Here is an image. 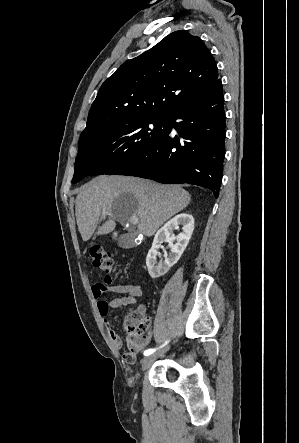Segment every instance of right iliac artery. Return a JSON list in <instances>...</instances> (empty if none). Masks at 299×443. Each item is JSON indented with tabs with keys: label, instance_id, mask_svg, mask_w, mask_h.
I'll list each match as a JSON object with an SVG mask.
<instances>
[{
	"label": "right iliac artery",
	"instance_id": "82829eb1",
	"mask_svg": "<svg viewBox=\"0 0 299 443\" xmlns=\"http://www.w3.org/2000/svg\"><path fill=\"white\" fill-rule=\"evenodd\" d=\"M168 342H165V344L164 345H166ZM163 345V346H164ZM163 346H161V347H163ZM156 351V349H147V350H145L144 351V356H149V355H151L152 353H154Z\"/></svg>",
	"mask_w": 299,
	"mask_h": 443
}]
</instances>
